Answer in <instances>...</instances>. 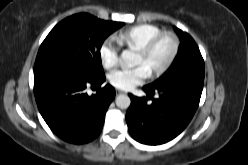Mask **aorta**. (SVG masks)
I'll use <instances>...</instances> for the list:
<instances>
[{"mask_svg": "<svg viewBox=\"0 0 248 165\" xmlns=\"http://www.w3.org/2000/svg\"><path fill=\"white\" fill-rule=\"evenodd\" d=\"M122 60L128 65H136L137 64V56L131 50H124L121 53ZM131 104L130 97L126 94H120L116 97V105L121 109H127Z\"/></svg>", "mask_w": 248, "mask_h": 165, "instance_id": "1", "label": "aorta"}]
</instances>
